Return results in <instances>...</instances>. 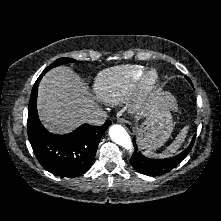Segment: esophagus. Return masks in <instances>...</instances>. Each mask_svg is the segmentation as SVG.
I'll use <instances>...</instances> for the list:
<instances>
[{
  "mask_svg": "<svg viewBox=\"0 0 221 221\" xmlns=\"http://www.w3.org/2000/svg\"><path fill=\"white\" fill-rule=\"evenodd\" d=\"M125 128H127V129H132V126H131V124L128 122V121H126V120H124V119H119L118 120Z\"/></svg>",
  "mask_w": 221,
  "mask_h": 221,
  "instance_id": "esophagus-1",
  "label": "esophagus"
}]
</instances>
